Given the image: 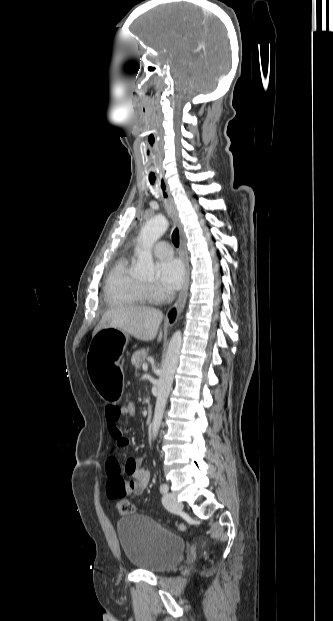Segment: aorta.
<instances>
[{"label":"aorta","mask_w":333,"mask_h":621,"mask_svg":"<svg viewBox=\"0 0 333 621\" xmlns=\"http://www.w3.org/2000/svg\"><path fill=\"white\" fill-rule=\"evenodd\" d=\"M168 228V220L158 215L148 220L142 227L139 243L141 249L138 252V263L136 276L150 279L154 276V263L152 257V247L154 243L165 233ZM182 346L181 331H176L168 345L166 357L158 380V393L154 416L152 420V436L158 435L162 418L164 415L167 399L172 387L174 374L179 362V355Z\"/></svg>","instance_id":"762f6f07"}]
</instances>
